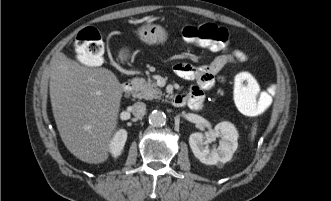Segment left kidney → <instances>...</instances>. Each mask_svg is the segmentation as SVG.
<instances>
[{"label":"left kidney","instance_id":"left-kidney-1","mask_svg":"<svg viewBox=\"0 0 331 201\" xmlns=\"http://www.w3.org/2000/svg\"><path fill=\"white\" fill-rule=\"evenodd\" d=\"M220 138L219 147L210 150L209 143ZM238 132L235 126L229 122H220L214 130L203 133H192L189 137V145L194 156L203 164L216 165L228 162L238 147Z\"/></svg>","mask_w":331,"mask_h":201}]
</instances>
